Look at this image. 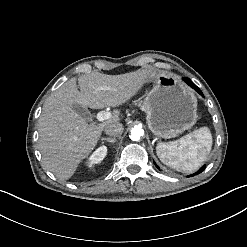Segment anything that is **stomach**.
I'll use <instances>...</instances> for the list:
<instances>
[{
	"mask_svg": "<svg viewBox=\"0 0 247 247\" xmlns=\"http://www.w3.org/2000/svg\"><path fill=\"white\" fill-rule=\"evenodd\" d=\"M145 84L150 90L144 99V108L155 135L173 138L196 123L198 99L181 76L151 70Z\"/></svg>",
	"mask_w": 247,
	"mask_h": 247,
	"instance_id": "obj_1",
	"label": "stomach"
}]
</instances>
